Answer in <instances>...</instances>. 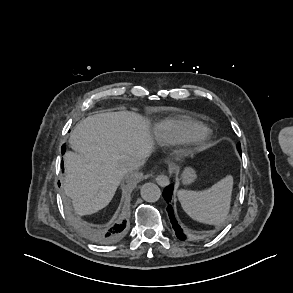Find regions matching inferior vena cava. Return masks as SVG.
<instances>
[{
  "instance_id": "obj_1",
  "label": "inferior vena cava",
  "mask_w": 293,
  "mask_h": 293,
  "mask_svg": "<svg viewBox=\"0 0 293 293\" xmlns=\"http://www.w3.org/2000/svg\"><path fill=\"white\" fill-rule=\"evenodd\" d=\"M145 158L144 156H139L133 158L130 162L127 164V169L128 171L135 170L139 167H141L145 163Z\"/></svg>"
}]
</instances>
